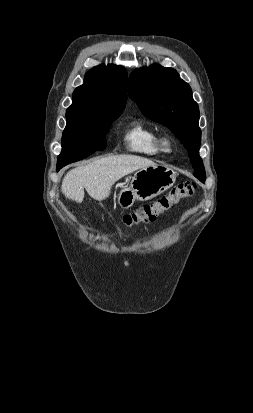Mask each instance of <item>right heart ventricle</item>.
I'll return each mask as SVG.
<instances>
[{"mask_svg": "<svg viewBox=\"0 0 253 413\" xmlns=\"http://www.w3.org/2000/svg\"><path fill=\"white\" fill-rule=\"evenodd\" d=\"M160 135L156 128L142 120H134L123 135V142L127 150L147 156L159 154Z\"/></svg>", "mask_w": 253, "mask_h": 413, "instance_id": "right-heart-ventricle-1", "label": "right heart ventricle"}]
</instances>
